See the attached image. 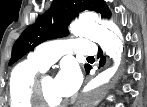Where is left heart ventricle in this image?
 Here are the masks:
<instances>
[{
    "label": "left heart ventricle",
    "mask_w": 147,
    "mask_h": 107,
    "mask_svg": "<svg viewBox=\"0 0 147 107\" xmlns=\"http://www.w3.org/2000/svg\"><path fill=\"white\" fill-rule=\"evenodd\" d=\"M43 94L45 99L50 103H58L65 101V98L62 97L56 90L55 79L51 76H47L43 80Z\"/></svg>",
    "instance_id": "left-heart-ventricle-1"
}]
</instances>
